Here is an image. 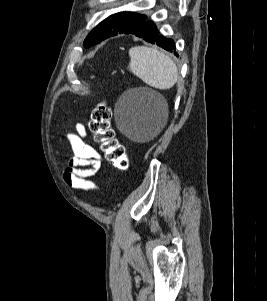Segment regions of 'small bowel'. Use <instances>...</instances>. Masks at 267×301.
<instances>
[{
    "instance_id": "small-bowel-1",
    "label": "small bowel",
    "mask_w": 267,
    "mask_h": 301,
    "mask_svg": "<svg viewBox=\"0 0 267 301\" xmlns=\"http://www.w3.org/2000/svg\"><path fill=\"white\" fill-rule=\"evenodd\" d=\"M73 156L69 159L64 171L66 183L78 190L98 191L99 186L90 178L94 176L101 167L102 157L98 150L89 144L85 126L78 123L75 132L66 133Z\"/></svg>"
}]
</instances>
